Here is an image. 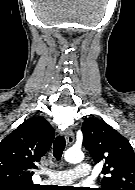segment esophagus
Segmentation results:
<instances>
[{
    "label": "esophagus",
    "mask_w": 135,
    "mask_h": 190,
    "mask_svg": "<svg viewBox=\"0 0 135 190\" xmlns=\"http://www.w3.org/2000/svg\"><path fill=\"white\" fill-rule=\"evenodd\" d=\"M64 134L67 144L71 145L74 142V133L72 132L71 129H67Z\"/></svg>",
    "instance_id": "obj_1"
}]
</instances>
